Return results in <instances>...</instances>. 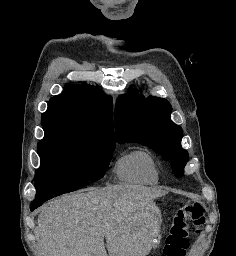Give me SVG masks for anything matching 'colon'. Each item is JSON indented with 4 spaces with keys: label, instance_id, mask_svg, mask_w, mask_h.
Here are the masks:
<instances>
[{
    "label": "colon",
    "instance_id": "obj_1",
    "mask_svg": "<svg viewBox=\"0 0 236 256\" xmlns=\"http://www.w3.org/2000/svg\"><path fill=\"white\" fill-rule=\"evenodd\" d=\"M206 220L203 205L198 201H186L172 215L162 256H185L189 246L188 225L192 222L193 234L198 236Z\"/></svg>",
    "mask_w": 236,
    "mask_h": 256
}]
</instances>
